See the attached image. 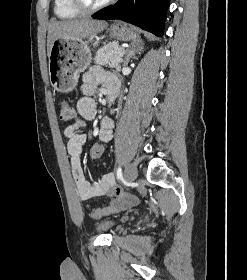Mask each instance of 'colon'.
Wrapping results in <instances>:
<instances>
[{"label":"colon","instance_id":"obj_1","mask_svg":"<svg viewBox=\"0 0 247 280\" xmlns=\"http://www.w3.org/2000/svg\"><path fill=\"white\" fill-rule=\"evenodd\" d=\"M59 115L60 119L64 122L70 121L75 116V111L67 100H62L59 103ZM106 153L105 142L103 139H96L94 144L90 149V157L93 160L99 159L101 156H104Z\"/></svg>","mask_w":247,"mask_h":280}]
</instances>
